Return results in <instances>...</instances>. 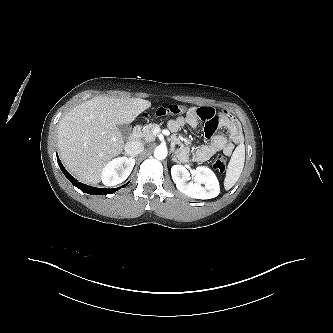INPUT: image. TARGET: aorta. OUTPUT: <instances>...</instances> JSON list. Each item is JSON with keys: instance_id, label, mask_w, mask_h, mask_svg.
Segmentation results:
<instances>
[{"instance_id": "obj_1", "label": "aorta", "mask_w": 333, "mask_h": 333, "mask_svg": "<svg viewBox=\"0 0 333 333\" xmlns=\"http://www.w3.org/2000/svg\"><path fill=\"white\" fill-rule=\"evenodd\" d=\"M154 156L158 160L165 159L166 156H167V148H166V146H163V145L157 146L156 149H155V151H154Z\"/></svg>"}]
</instances>
